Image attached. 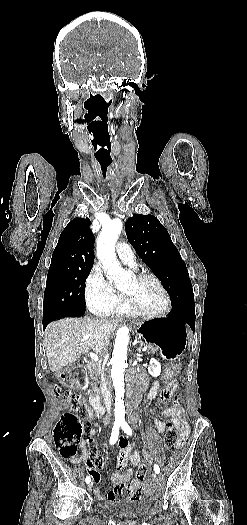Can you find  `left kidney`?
<instances>
[{"label": "left kidney", "instance_id": "obj_1", "mask_svg": "<svg viewBox=\"0 0 247 525\" xmlns=\"http://www.w3.org/2000/svg\"><path fill=\"white\" fill-rule=\"evenodd\" d=\"M149 373L153 375V377H156V375H160L161 367L160 363H157L155 359H151L150 367L148 369Z\"/></svg>", "mask_w": 247, "mask_h": 525}]
</instances>
